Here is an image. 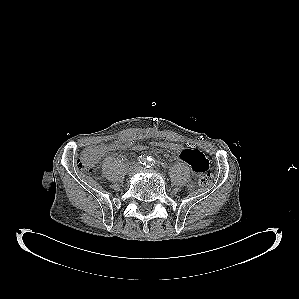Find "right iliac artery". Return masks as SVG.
Returning <instances> with one entry per match:
<instances>
[{"label":"right iliac artery","instance_id":"82829eb1","mask_svg":"<svg viewBox=\"0 0 299 299\" xmlns=\"http://www.w3.org/2000/svg\"><path fill=\"white\" fill-rule=\"evenodd\" d=\"M139 163L141 164V165H145L146 166V164H147V162H148V158H146V157H144V156H140V158H139Z\"/></svg>","mask_w":299,"mask_h":299}]
</instances>
